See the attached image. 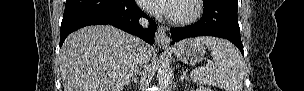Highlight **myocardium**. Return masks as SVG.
<instances>
[{
	"label": "myocardium",
	"mask_w": 304,
	"mask_h": 91,
	"mask_svg": "<svg viewBox=\"0 0 304 91\" xmlns=\"http://www.w3.org/2000/svg\"><path fill=\"white\" fill-rule=\"evenodd\" d=\"M191 2L192 5V11L188 15L179 16V17H173L172 15L169 16L170 21L173 24L177 25H186L191 24L195 21H197L203 12V5L201 0H187Z\"/></svg>",
	"instance_id": "f54148a6"
}]
</instances>
